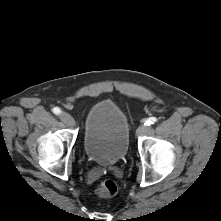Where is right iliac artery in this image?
Wrapping results in <instances>:
<instances>
[{"label":"right iliac artery","mask_w":221,"mask_h":221,"mask_svg":"<svg viewBox=\"0 0 221 221\" xmlns=\"http://www.w3.org/2000/svg\"><path fill=\"white\" fill-rule=\"evenodd\" d=\"M52 111H53V113L56 114V115H58V114L61 113V110H60V108H58V107H54V108L52 109Z\"/></svg>","instance_id":"1"}]
</instances>
